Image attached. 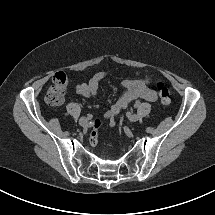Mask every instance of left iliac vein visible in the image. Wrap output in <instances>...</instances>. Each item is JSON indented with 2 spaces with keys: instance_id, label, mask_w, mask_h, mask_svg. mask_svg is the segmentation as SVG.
Returning a JSON list of instances; mask_svg holds the SVG:
<instances>
[{
  "instance_id": "left-iliac-vein-1",
  "label": "left iliac vein",
  "mask_w": 215,
  "mask_h": 215,
  "mask_svg": "<svg viewBox=\"0 0 215 215\" xmlns=\"http://www.w3.org/2000/svg\"><path fill=\"white\" fill-rule=\"evenodd\" d=\"M127 117L130 122H137L140 119L137 114H128Z\"/></svg>"
}]
</instances>
